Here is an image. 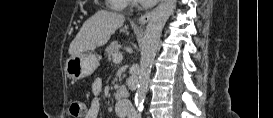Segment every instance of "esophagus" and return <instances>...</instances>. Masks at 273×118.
Returning a JSON list of instances; mask_svg holds the SVG:
<instances>
[{
	"label": "esophagus",
	"mask_w": 273,
	"mask_h": 118,
	"mask_svg": "<svg viewBox=\"0 0 273 118\" xmlns=\"http://www.w3.org/2000/svg\"><path fill=\"white\" fill-rule=\"evenodd\" d=\"M161 2H163V0H162ZM154 12H155V9H153V10H151V11L145 13L144 15H142V16L139 18V20H138V24H139V25H144V24H146V23L150 20V18H151L152 15L154 14Z\"/></svg>",
	"instance_id": "1"
}]
</instances>
